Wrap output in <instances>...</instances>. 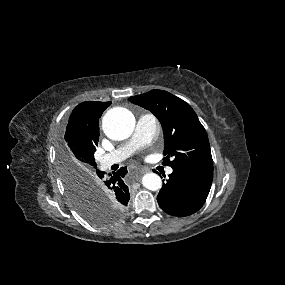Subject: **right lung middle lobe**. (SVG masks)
I'll list each match as a JSON object with an SVG mask.
<instances>
[{
  "instance_id": "dd1d6c3e",
  "label": "right lung middle lobe",
  "mask_w": 285,
  "mask_h": 285,
  "mask_svg": "<svg viewBox=\"0 0 285 285\" xmlns=\"http://www.w3.org/2000/svg\"><path fill=\"white\" fill-rule=\"evenodd\" d=\"M59 171L62 182L75 210L88 222L109 225L117 221L125 210L112 201L100 198L91 179L95 177L94 156L79 155L72 158L66 146L58 152Z\"/></svg>"
}]
</instances>
